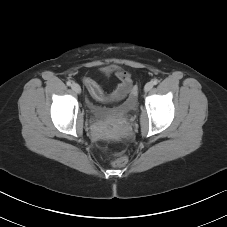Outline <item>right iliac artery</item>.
Instances as JSON below:
<instances>
[{
	"instance_id": "obj_1",
	"label": "right iliac artery",
	"mask_w": 227,
	"mask_h": 227,
	"mask_svg": "<svg viewBox=\"0 0 227 227\" xmlns=\"http://www.w3.org/2000/svg\"><path fill=\"white\" fill-rule=\"evenodd\" d=\"M66 84H67L68 86H71V85H72L71 81H67Z\"/></svg>"
}]
</instances>
